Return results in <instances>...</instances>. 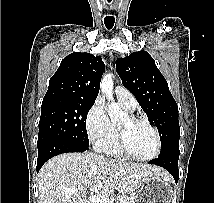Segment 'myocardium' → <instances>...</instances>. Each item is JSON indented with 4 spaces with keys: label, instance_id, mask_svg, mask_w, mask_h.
I'll return each instance as SVG.
<instances>
[{
    "label": "myocardium",
    "instance_id": "obj_1",
    "mask_svg": "<svg viewBox=\"0 0 214 203\" xmlns=\"http://www.w3.org/2000/svg\"><path fill=\"white\" fill-rule=\"evenodd\" d=\"M128 120L131 124H144V125L148 126L153 131V133L155 135L156 147H155L154 153L151 154L150 156H147V157L135 156L134 154H132L130 152V150L127 146L125 127H123L122 125H118V146H119L121 153L125 157H127L131 160H134V161H138V162L152 161L153 159H155L160 154V151H161V136H160L158 129L153 124H151L148 120L143 119V118H139V117L129 115Z\"/></svg>",
    "mask_w": 214,
    "mask_h": 203
}]
</instances>
